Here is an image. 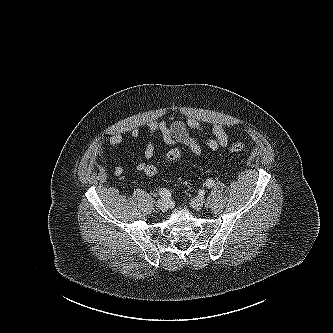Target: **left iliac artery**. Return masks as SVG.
I'll return each instance as SVG.
<instances>
[{
    "label": "left iliac artery",
    "mask_w": 333,
    "mask_h": 333,
    "mask_svg": "<svg viewBox=\"0 0 333 333\" xmlns=\"http://www.w3.org/2000/svg\"><path fill=\"white\" fill-rule=\"evenodd\" d=\"M215 185V181L214 180H212V179H208L207 181H206V186L208 187V188H211V187H213Z\"/></svg>",
    "instance_id": "left-iliac-artery-1"
}]
</instances>
